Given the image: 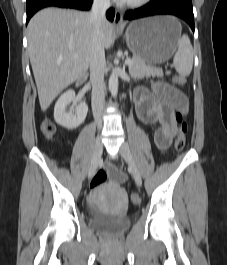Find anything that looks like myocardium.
Here are the masks:
<instances>
[{
    "mask_svg": "<svg viewBox=\"0 0 227 265\" xmlns=\"http://www.w3.org/2000/svg\"><path fill=\"white\" fill-rule=\"evenodd\" d=\"M149 1L150 0H134V1L122 2V4L128 8H139L146 5Z\"/></svg>",
    "mask_w": 227,
    "mask_h": 265,
    "instance_id": "obj_1",
    "label": "myocardium"
}]
</instances>
